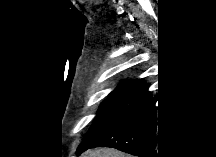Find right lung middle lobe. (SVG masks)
<instances>
[{
    "label": "right lung middle lobe",
    "mask_w": 216,
    "mask_h": 157,
    "mask_svg": "<svg viewBox=\"0 0 216 157\" xmlns=\"http://www.w3.org/2000/svg\"><path fill=\"white\" fill-rule=\"evenodd\" d=\"M136 92L123 91L110 94L99 106L97 116L77 150L89 147L111 131L122 119Z\"/></svg>",
    "instance_id": "dd1d6c3e"
}]
</instances>
